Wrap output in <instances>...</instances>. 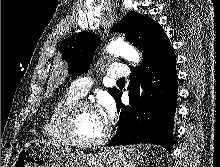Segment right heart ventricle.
<instances>
[{"mask_svg":"<svg viewBox=\"0 0 220 167\" xmlns=\"http://www.w3.org/2000/svg\"><path fill=\"white\" fill-rule=\"evenodd\" d=\"M78 99L79 97L69 90L50 106L42 127V132L48 140L60 145L70 144L62 132L60 124L64 111Z\"/></svg>","mask_w":220,"mask_h":167,"instance_id":"e07e8e85","label":"right heart ventricle"}]
</instances>
